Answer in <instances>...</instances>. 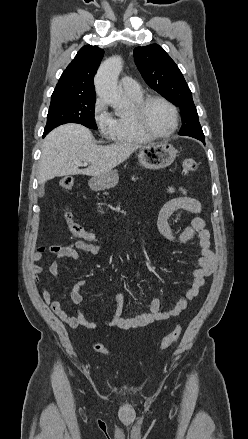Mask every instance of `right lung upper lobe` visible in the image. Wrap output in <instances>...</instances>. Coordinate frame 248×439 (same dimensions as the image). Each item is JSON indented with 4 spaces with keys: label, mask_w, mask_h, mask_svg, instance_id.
I'll use <instances>...</instances> for the list:
<instances>
[{
    "label": "right lung upper lobe",
    "mask_w": 248,
    "mask_h": 439,
    "mask_svg": "<svg viewBox=\"0 0 248 439\" xmlns=\"http://www.w3.org/2000/svg\"><path fill=\"white\" fill-rule=\"evenodd\" d=\"M103 54L104 50L97 46H83L62 73L52 97H95L93 79Z\"/></svg>",
    "instance_id": "1"
}]
</instances>
